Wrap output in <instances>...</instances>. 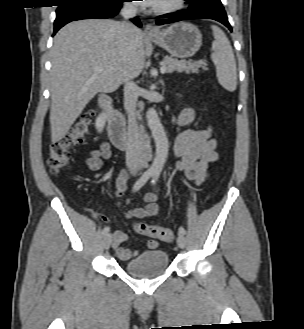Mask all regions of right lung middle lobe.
Returning <instances> with one entry per match:
<instances>
[{"label":"right lung middle lobe","instance_id":"right-lung-middle-lobe-1","mask_svg":"<svg viewBox=\"0 0 304 329\" xmlns=\"http://www.w3.org/2000/svg\"><path fill=\"white\" fill-rule=\"evenodd\" d=\"M60 1L59 7L64 6V5H69V4H74V3H109L113 2L115 0H58Z\"/></svg>","mask_w":304,"mask_h":329}]
</instances>
